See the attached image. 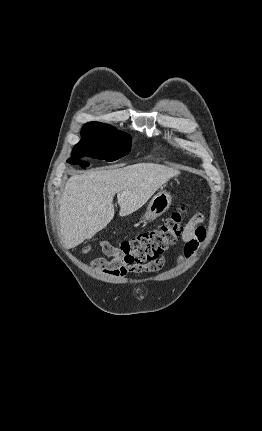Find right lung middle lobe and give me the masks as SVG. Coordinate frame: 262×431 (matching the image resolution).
<instances>
[{"label":"right lung middle lobe","instance_id":"dd1d6c3e","mask_svg":"<svg viewBox=\"0 0 262 431\" xmlns=\"http://www.w3.org/2000/svg\"><path fill=\"white\" fill-rule=\"evenodd\" d=\"M81 136V141L73 149L72 158L67 162L78 164L82 168L90 165L78 159L82 156L115 161L126 155L131 148L129 135L109 125L83 126Z\"/></svg>","mask_w":262,"mask_h":431}]
</instances>
